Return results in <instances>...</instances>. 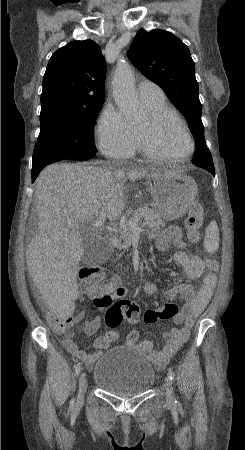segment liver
<instances>
[{"label": "liver", "instance_id": "6515ba94", "mask_svg": "<svg viewBox=\"0 0 245 450\" xmlns=\"http://www.w3.org/2000/svg\"><path fill=\"white\" fill-rule=\"evenodd\" d=\"M164 170L124 171L55 163L41 171L35 189L38 230L26 251V264L54 315L65 318L75 309L76 276L83 254L79 228L101 210L109 218H118L126 204L125 181L150 177Z\"/></svg>", "mask_w": 245, "mask_h": 450}]
</instances>
